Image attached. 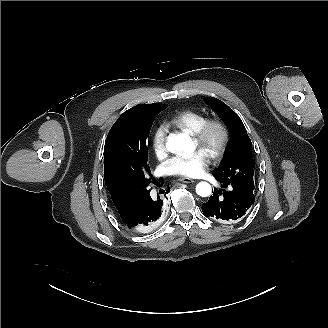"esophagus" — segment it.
I'll return each instance as SVG.
<instances>
[{"instance_id": "34e87169", "label": "esophagus", "mask_w": 328, "mask_h": 328, "mask_svg": "<svg viewBox=\"0 0 328 328\" xmlns=\"http://www.w3.org/2000/svg\"><path fill=\"white\" fill-rule=\"evenodd\" d=\"M178 181L182 182V183H194L195 182V180L188 178V177L179 178Z\"/></svg>"}]
</instances>
